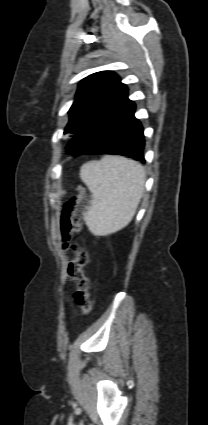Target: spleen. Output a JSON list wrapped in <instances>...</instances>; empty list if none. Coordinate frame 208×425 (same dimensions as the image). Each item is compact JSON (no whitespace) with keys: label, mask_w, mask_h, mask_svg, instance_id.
<instances>
[{"label":"spleen","mask_w":208,"mask_h":425,"mask_svg":"<svg viewBox=\"0 0 208 425\" xmlns=\"http://www.w3.org/2000/svg\"><path fill=\"white\" fill-rule=\"evenodd\" d=\"M80 178L92 194L84 220L98 236L115 233L132 220L144 192L143 166L131 159L105 155L81 166Z\"/></svg>","instance_id":"spleen-1"}]
</instances>
